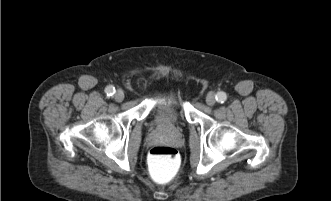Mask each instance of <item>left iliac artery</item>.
Returning a JSON list of instances; mask_svg holds the SVG:
<instances>
[{"label": "left iliac artery", "instance_id": "44dca946", "mask_svg": "<svg viewBox=\"0 0 331 201\" xmlns=\"http://www.w3.org/2000/svg\"><path fill=\"white\" fill-rule=\"evenodd\" d=\"M215 98H216L217 102H219V103H223V102L226 101V99H227V95H226L225 92H218V93L216 94Z\"/></svg>", "mask_w": 331, "mask_h": 201}]
</instances>
